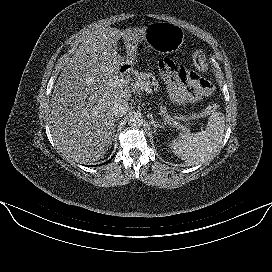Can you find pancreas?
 <instances>
[{"instance_id": "pancreas-1", "label": "pancreas", "mask_w": 272, "mask_h": 272, "mask_svg": "<svg viewBox=\"0 0 272 272\" xmlns=\"http://www.w3.org/2000/svg\"><path fill=\"white\" fill-rule=\"evenodd\" d=\"M135 85L137 86L138 89H141V87L145 86H154L155 90H158L159 82L156 80L155 76L152 73H145L141 72L136 75V81ZM160 114L163 115L164 121L171 127L176 128L177 130H181L183 132L188 131L187 124L183 125L180 124L179 122L176 121V119H183V120H188L190 118H183V117H178V116H170L167 112V109L165 106L160 107Z\"/></svg>"}]
</instances>
